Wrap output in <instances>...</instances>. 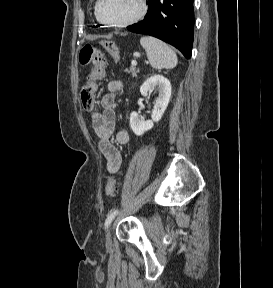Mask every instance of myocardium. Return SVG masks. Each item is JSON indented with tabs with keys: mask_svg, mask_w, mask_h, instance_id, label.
<instances>
[{
	"mask_svg": "<svg viewBox=\"0 0 273 288\" xmlns=\"http://www.w3.org/2000/svg\"><path fill=\"white\" fill-rule=\"evenodd\" d=\"M102 3H103V0H97L96 6H95L96 18L103 25H105L107 27H113V28L127 27V26H130V25L140 21L146 15L147 9H148L147 1L146 0H139V6L140 7H139L138 12L134 16H132L131 18L124 20V21L109 22V21H106L101 15Z\"/></svg>",
	"mask_w": 273,
	"mask_h": 288,
	"instance_id": "1",
	"label": "myocardium"
}]
</instances>
